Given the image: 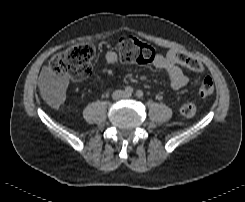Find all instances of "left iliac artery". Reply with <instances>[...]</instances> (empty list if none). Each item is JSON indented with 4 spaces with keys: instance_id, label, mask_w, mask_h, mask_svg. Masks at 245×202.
I'll list each match as a JSON object with an SVG mask.
<instances>
[{
    "instance_id": "obj_1",
    "label": "left iliac artery",
    "mask_w": 245,
    "mask_h": 202,
    "mask_svg": "<svg viewBox=\"0 0 245 202\" xmlns=\"http://www.w3.org/2000/svg\"><path fill=\"white\" fill-rule=\"evenodd\" d=\"M143 95H144V93H143V91H141V90H138V91L136 92V96H137L138 98H142Z\"/></svg>"
}]
</instances>
